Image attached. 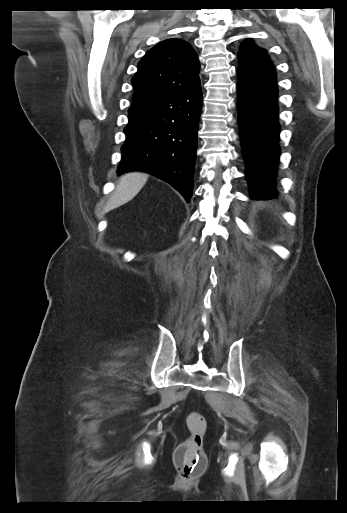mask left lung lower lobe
<instances>
[{
	"label": "left lung lower lobe",
	"mask_w": 347,
	"mask_h": 513,
	"mask_svg": "<svg viewBox=\"0 0 347 513\" xmlns=\"http://www.w3.org/2000/svg\"><path fill=\"white\" fill-rule=\"evenodd\" d=\"M238 109L251 199H273L279 161L277 82L272 63L239 58Z\"/></svg>",
	"instance_id": "left-lung-lower-lobe-1"
}]
</instances>
